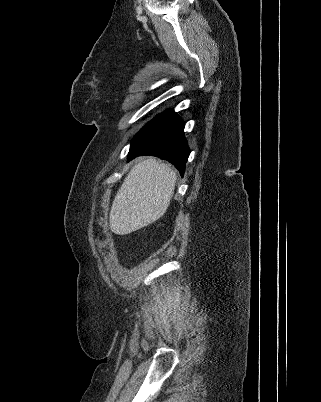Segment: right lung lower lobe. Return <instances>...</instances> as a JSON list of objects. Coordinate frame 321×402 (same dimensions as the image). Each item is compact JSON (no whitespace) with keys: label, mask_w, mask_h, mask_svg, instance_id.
I'll use <instances>...</instances> for the list:
<instances>
[{"label":"right lung lower lobe","mask_w":321,"mask_h":402,"mask_svg":"<svg viewBox=\"0 0 321 402\" xmlns=\"http://www.w3.org/2000/svg\"><path fill=\"white\" fill-rule=\"evenodd\" d=\"M184 122L173 109L149 121L131 141L128 160L151 155L172 163L183 176L190 150L184 136Z\"/></svg>","instance_id":"obj_1"}]
</instances>
